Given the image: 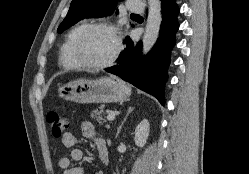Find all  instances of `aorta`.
Here are the masks:
<instances>
[{
    "label": "aorta",
    "mask_w": 249,
    "mask_h": 174,
    "mask_svg": "<svg viewBox=\"0 0 249 174\" xmlns=\"http://www.w3.org/2000/svg\"><path fill=\"white\" fill-rule=\"evenodd\" d=\"M162 22L161 1L148 0V17L143 35L142 53L147 54L156 42Z\"/></svg>",
    "instance_id": "aorta-1"
}]
</instances>
